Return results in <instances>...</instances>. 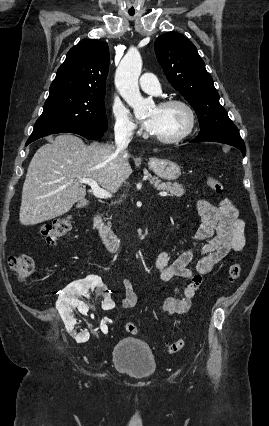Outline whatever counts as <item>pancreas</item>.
Wrapping results in <instances>:
<instances>
[{"instance_id": "pancreas-1", "label": "pancreas", "mask_w": 269, "mask_h": 426, "mask_svg": "<svg viewBox=\"0 0 269 426\" xmlns=\"http://www.w3.org/2000/svg\"><path fill=\"white\" fill-rule=\"evenodd\" d=\"M148 179L150 183L158 190H164L169 192V196L171 197H181L184 195L185 190L181 184L178 183H170V182H162L157 177L148 175Z\"/></svg>"}]
</instances>
